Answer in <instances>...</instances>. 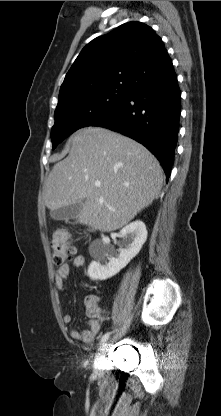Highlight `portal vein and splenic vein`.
I'll return each instance as SVG.
<instances>
[{
    "instance_id": "18ae733b",
    "label": "portal vein and splenic vein",
    "mask_w": 221,
    "mask_h": 416,
    "mask_svg": "<svg viewBox=\"0 0 221 416\" xmlns=\"http://www.w3.org/2000/svg\"><path fill=\"white\" fill-rule=\"evenodd\" d=\"M101 183L100 182H96L95 186L100 187Z\"/></svg>"
}]
</instances>
